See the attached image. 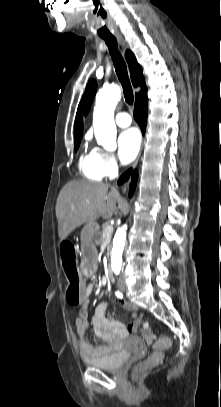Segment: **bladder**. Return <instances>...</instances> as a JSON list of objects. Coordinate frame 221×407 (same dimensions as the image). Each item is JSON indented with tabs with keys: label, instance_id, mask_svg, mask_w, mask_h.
Instances as JSON below:
<instances>
[{
	"label": "bladder",
	"instance_id": "obj_1",
	"mask_svg": "<svg viewBox=\"0 0 221 407\" xmlns=\"http://www.w3.org/2000/svg\"><path fill=\"white\" fill-rule=\"evenodd\" d=\"M131 341L135 345L134 352L144 353L146 351V346L142 339L134 337ZM130 355L131 351L117 349L103 357L87 359L85 364L104 371H116L128 361Z\"/></svg>",
	"mask_w": 221,
	"mask_h": 407
}]
</instances>
